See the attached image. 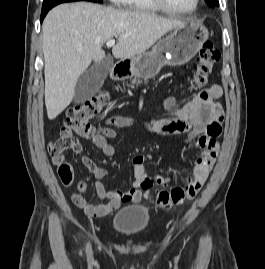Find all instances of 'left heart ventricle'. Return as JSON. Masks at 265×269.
I'll return each mask as SVG.
<instances>
[{
  "label": "left heart ventricle",
  "mask_w": 265,
  "mask_h": 269,
  "mask_svg": "<svg viewBox=\"0 0 265 269\" xmlns=\"http://www.w3.org/2000/svg\"><path fill=\"white\" fill-rule=\"evenodd\" d=\"M166 2L174 8L189 10L194 6L195 0H166Z\"/></svg>",
  "instance_id": "1"
}]
</instances>
